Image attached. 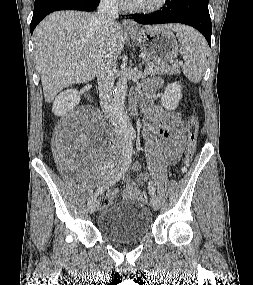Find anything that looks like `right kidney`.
<instances>
[{
    "label": "right kidney",
    "mask_w": 253,
    "mask_h": 285,
    "mask_svg": "<svg viewBox=\"0 0 253 285\" xmlns=\"http://www.w3.org/2000/svg\"><path fill=\"white\" fill-rule=\"evenodd\" d=\"M80 101V94L75 89H67L56 96L52 111L57 116H63L72 110Z\"/></svg>",
    "instance_id": "1"
}]
</instances>
